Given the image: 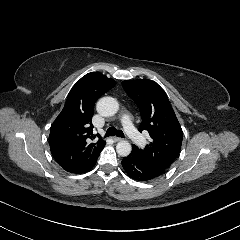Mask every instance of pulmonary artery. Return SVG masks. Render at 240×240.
<instances>
[{"label":"pulmonary artery","instance_id":"e3ab8cb5","mask_svg":"<svg viewBox=\"0 0 240 240\" xmlns=\"http://www.w3.org/2000/svg\"><path fill=\"white\" fill-rule=\"evenodd\" d=\"M121 124L124 125V129L127 131V133L130 135V137L137 143L138 146H143L146 142V137L141 136L139 133L136 132L133 125L129 123L127 118L121 119Z\"/></svg>","mask_w":240,"mask_h":240}]
</instances>
